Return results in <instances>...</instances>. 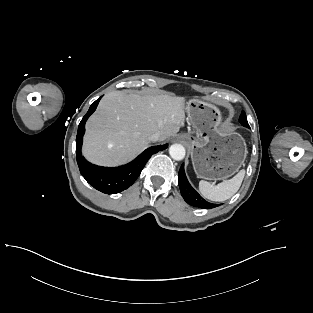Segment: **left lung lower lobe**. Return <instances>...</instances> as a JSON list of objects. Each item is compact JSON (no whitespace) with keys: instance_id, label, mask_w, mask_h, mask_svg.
<instances>
[{"instance_id":"0a47b994","label":"left lung lower lobe","mask_w":313,"mask_h":313,"mask_svg":"<svg viewBox=\"0 0 313 313\" xmlns=\"http://www.w3.org/2000/svg\"><path fill=\"white\" fill-rule=\"evenodd\" d=\"M178 185H179L182 197L191 206L202 208V209H211V208L218 206L217 204H212V203L207 202L193 189V187L190 185L185 175L184 164L181 166L179 173H178Z\"/></svg>"}]
</instances>
